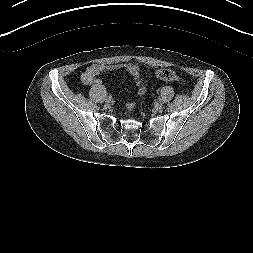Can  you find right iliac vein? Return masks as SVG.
Here are the masks:
<instances>
[{
  "instance_id": "right-iliac-vein-1",
  "label": "right iliac vein",
  "mask_w": 253,
  "mask_h": 253,
  "mask_svg": "<svg viewBox=\"0 0 253 253\" xmlns=\"http://www.w3.org/2000/svg\"><path fill=\"white\" fill-rule=\"evenodd\" d=\"M110 102H111L110 99H106L107 104H110Z\"/></svg>"
}]
</instances>
